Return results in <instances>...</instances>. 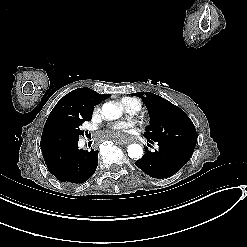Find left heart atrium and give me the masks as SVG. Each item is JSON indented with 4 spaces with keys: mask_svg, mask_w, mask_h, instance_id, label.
<instances>
[{
    "mask_svg": "<svg viewBox=\"0 0 247 247\" xmlns=\"http://www.w3.org/2000/svg\"><path fill=\"white\" fill-rule=\"evenodd\" d=\"M101 131L104 138V144L129 145L127 134L120 126H118L117 123L112 124L107 128L101 129Z\"/></svg>",
    "mask_w": 247,
    "mask_h": 247,
    "instance_id": "1",
    "label": "left heart atrium"
}]
</instances>
